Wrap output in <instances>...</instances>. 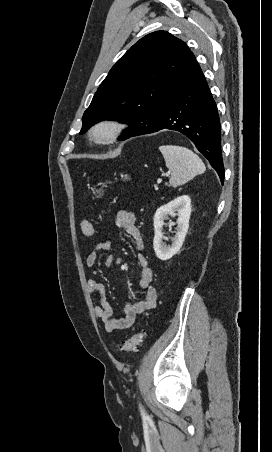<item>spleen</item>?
Listing matches in <instances>:
<instances>
[{"mask_svg": "<svg viewBox=\"0 0 272 452\" xmlns=\"http://www.w3.org/2000/svg\"><path fill=\"white\" fill-rule=\"evenodd\" d=\"M159 150L164 157L167 168L171 170L169 184L173 187L185 184L206 170L199 156L188 148L162 145Z\"/></svg>", "mask_w": 272, "mask_h": 452, "instance_id": "spleen-1", "label": "spleen"}]
</instances>
